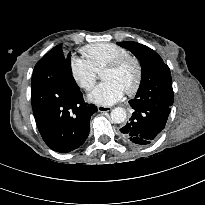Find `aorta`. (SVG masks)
<instances>
[{"label":"aorta","instance_id":"obj_1","mask_svg":"<svg viewBox=\"0 0 205 205\" xmlns=\"http://www.w3.org/2000/svg\"><path fill=\"white\" fill-rule=\"evenodd\" d=\"M127 113L124 108L116 107L111 111V119L114 123H122L126 120Z\"/></svg>","mask_w":205,"mask_h":205}]
</instances>
